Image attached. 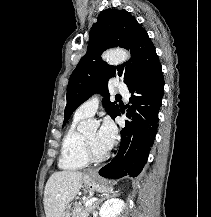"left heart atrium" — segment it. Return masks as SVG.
<instances>
[{
	"instance_id": "left-heart-atrium-1",
	"label": "left heart atrium",
	"mask_w": 211,
	"mask_h": 217,
	"mask_svg": "<svg viewBox=\"0 0 211 217\" xmlns=\"http://www.w3.org/2000/svg\"><path fill=\"white\" fill-rule=\"evenodd\" d=\"M116 140V128L111 120L105 119L97 132V143L104 150L113 147Z\"/></svg>"
}]
</instances>
